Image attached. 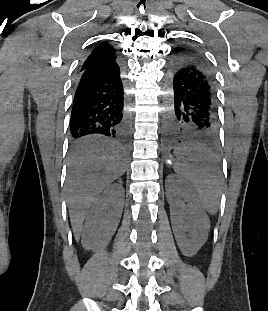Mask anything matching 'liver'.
I'll list each match as a JSON object with an SVG mask.
<instances>
[{"label": "liver", "instance_id": "obj_1", "mask_svg": "<svg viewBox=\"0 0 268 311\" xmlns=\"http://www.w3.org/2000/svg\"><path fill=\"white\" fill-rule=\"evenodd\" d=\"M67 204L76 240L92 203L114 180L125 173L121 150L113 145H85L68 163Z\"/></svg>", "mask_w": 268, "mask_h": 311}]
</instances>
